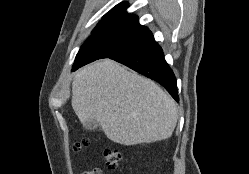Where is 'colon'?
Listing matches in <instances>:
<instances>
[{"mask_svg":"<svg viewBox=\"0 0 249 174\" xmlns=\"http://www.w3.org/2000/svg\"><path fill=\"white\" fill-rule=\"evenodd\" d=\"M89 145V140L84 138L75 143L74 149L79 151ZM105 165L112 170H116L122 161V153L118 149H107L103 155Z\"/></svg>","mask_w":249,"mask_h":174,"instance_id":"obj_1","label":"colon"}]
</instances>
